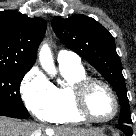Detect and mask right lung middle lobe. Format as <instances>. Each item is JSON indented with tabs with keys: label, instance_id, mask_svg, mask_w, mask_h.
Here are the masks:
<instances>
[{
	"label": "right lung middle lobe",
	"instance_id": "obj_1",
	"mask_svg": "<svg viewBox=\"0 0 136 136\" xmlns=\"http://www.w3.org/2000/svg\"><path fill=\"white\" fill-rule=\"evenodd\" d=\"M28 71L0 68V116L29 117L19 93L20 83Z\"/></svg>",
	"mask_w": 136,
	"mask_h": 136
}]
</instances>
